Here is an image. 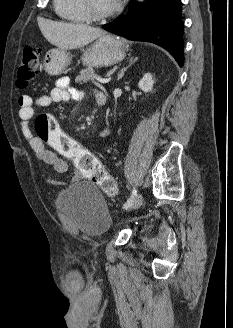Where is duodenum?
I'll use <instances>...</instances> for the list:
<instances>
[{"label":"duodenum","instance_id":"1","mask_svg":"<svg viewBox=\"0 0 233 328\" xmlns=\"http://www.w3.org/2000/svg\"><path fill=\"white\" fill-rule=\"evenodd\" d=\"M97 102L99 105H104L106 103V97L103 93H100L97 97Z\"/></svg>","mask_w":233,"mask_h":328}]
</instances>
